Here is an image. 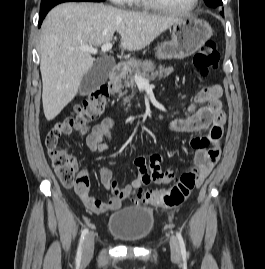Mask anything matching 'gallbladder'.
<instances>
[{"label": "gallbladder", "instance_id": "gallbladder-1", "mask_svg": "<svg viewBox=\"0 0 265 269\" xmlns=\"http://www.w3.org/2000/svg\"><path fill=\"white\" fill-rule=\"evenodd\" d=\"M111 64H106L103 60H98L93 67L83 76L79 86L81 95H89L96 91L107 80Z\"/></svg>", "mask_w": 265, "mask_h": 269}]
</instances>
